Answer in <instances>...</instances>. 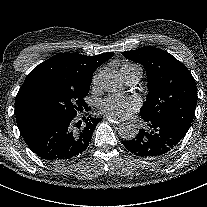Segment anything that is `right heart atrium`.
I'll return each mask as SVG.
<instances>
[{
	"label": "right heart atrium",
	"instance_id": "d8ad5b80",
	"mask_svg": "<svg viewBox=\"0 0 207 207\" xmlns=\"http://www.w3.org/2000/svg\"><path fill=\"white\" fill-rule=\"evenodd\" d=\"M100 75L101 71H98L92 78V87L97 90L100 87Z\"/></svg>",
	"mask_w": 207,
	"mask_h": 207
}]
</instances>
